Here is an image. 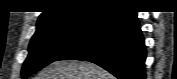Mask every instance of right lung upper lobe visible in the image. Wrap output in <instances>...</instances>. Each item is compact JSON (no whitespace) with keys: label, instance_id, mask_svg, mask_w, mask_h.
Here are the masks:
<instances>
[{"label":"right lung upper lobe","instance_id":"right-lung-upper-lobe-1","mask_svg":"<svg viewBox=\"0 0 177 79\" xmlns=\"http://www.w3.org/2000/svg\"><path fill=\"white\" fill-rule=\"evenodd\" d=\"M49 10L38 18L37 28L48 23L86 17L94 14L103 15L107 11L124 7L121 1L105 0H58L51 2Z\"/></svg>","mask_w":177,"mask_h":79}]
</instances>
